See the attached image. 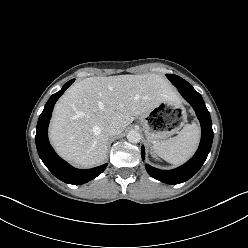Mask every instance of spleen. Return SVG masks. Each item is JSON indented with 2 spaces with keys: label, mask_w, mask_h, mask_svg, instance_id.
Here are the masks:
<instances>
[{
  "label": "spleen",
  "mask_w": 248,
  "mask_h": 248,
  "mask_svg": "<svg viewBox=\"0 0 248 248\" xmlns=\"http://www.w3.org/2000/svg\"><path fill=\"white\" fill-rule=\"evenodd\" d=\"M200 139V129L195 124H186L178 135L153 144L154 152L167 162L179 165L196 151Z\"/></svg>",
  "instance_id": "1"
}]
</instances>
